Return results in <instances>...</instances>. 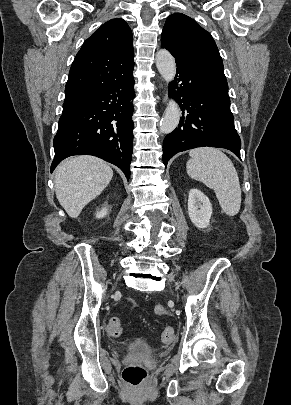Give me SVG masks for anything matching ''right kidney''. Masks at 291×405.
<instances>
[{
    "instance_id": "1",
    "label": "right kidney",
    "mask_w": 291,
    "mask_h": 405,
    "mask_svg": "<svg viewBox=\"0 0 291 405\" xmlns=\"http://www.w3.org/2000/svg\"><path fill=\"white\" fill-rule=\"evenodd\" d=\"M107 208L104 207L102 208L99 212H97L96 217L97 218H104L107 215Z\"/></svg>"
}]
</instances>
